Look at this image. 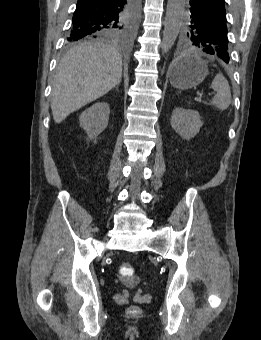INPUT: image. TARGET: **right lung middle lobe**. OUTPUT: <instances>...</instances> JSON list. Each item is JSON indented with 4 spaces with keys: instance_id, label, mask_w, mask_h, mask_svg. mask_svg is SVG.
I'll return each mask as SVG.
<instances>
[{
    "instance_id": "dd1d6c3e",
    "label": "right lung middle lobe",
    "mask_w": 261,
    "mask_h": 340,
    "mask_svg": "<svg viewBox=\"0 0 261 340\" xmlns=\"http://www.w3.org/2000/svg\"><path fill=\"white\" fill-rule=\"evenodd\" d=\"M137 10V0H132L123 10L121 16L107 26L99 28L98 31L93 34L70 31L67 42L73 43L84 38L125 40L129 38L133 32Z\"/></svg>"
}]
</instances>
